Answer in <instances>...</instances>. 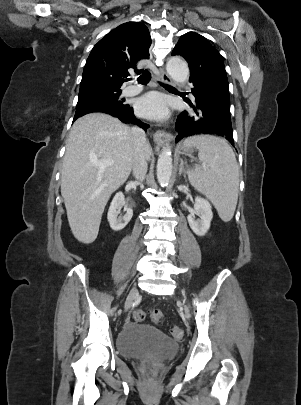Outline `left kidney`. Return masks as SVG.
Masks as SVG:
<instances>
[{
    "label": "left kidney",
    "mask_w": 301,
    "mask_h": 405,
    "mask_svg": "<svg viewBox=\"0 0 301 405\" xmlns=\"http://www.w3.org/2000/svg\"><path fill=\"white\" fill-rule=\"evenodd\" d=\"M194 214L200 216V220H195L193 214L188 215L190 228L197 236H204L210 228L213 218L212 206L204 198L196 197L194 204Z\"/></svg>",
    "instance_id": "5707ae66"
}]
</instances>
